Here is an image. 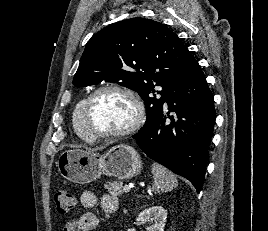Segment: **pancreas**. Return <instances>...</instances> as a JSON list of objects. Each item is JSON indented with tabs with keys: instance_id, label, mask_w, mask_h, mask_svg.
Segmentation results:
<instances>
[{
	"instance_id": "1",
	"label": "pancreas",
	"mask_w": 268,
	"mask_h": 231,
	"mask_svg": "<svg viewBox=\"0 0 268 231\" xmlns=\"http://www.w3.org/2000/svg\"><path fill=\"white\" fill-rule=\"evenodd\" d=\"M104 187L113 196H118L124 193L123 183L119 181L109 182L108 184H105Z\"/></svg>"
}]
</instances>
